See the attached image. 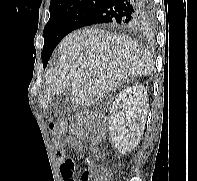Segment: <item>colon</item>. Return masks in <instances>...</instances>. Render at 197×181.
<instances>
[{
  "label": "colon",
  "instance_id": "5ec220e1",
  "mask_svg": "<svg viewBox=\"0 0 197 181\" xmlns=\"http://www.w3.org/2000/svg\"><path fill=\"white\" fill-rule=\"evenodd\" d=\"M69 127L76 136H92L96 130L95 118L80 114L69 120ZM50 129L57 138H61L64 134L65 127L63 123H52ZM110 174L102 169L89 167L85 169L80 181H109Z\"/></svg>",
  "mask_w": 197,
  "mask_h": 181
}]
</instances>
